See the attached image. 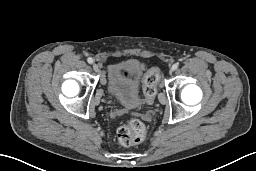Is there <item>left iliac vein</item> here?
I'll return each mask as SVG.
<instances>
[{"label": "left iliac vein", "mask_w": 256, "mask_h": 171, "mask_svg": "<svg viewBox=\"0 0 256 171\" xmlns=\"http://www.w3.org/2000/svg\"><path fill=\"white\" fill-rule=\"evenodd\" d=\"M172 71H174L172 68L170 69V73H172Z\"/></svg>", "instance_id": "4c4485c4"}]
</instances>
